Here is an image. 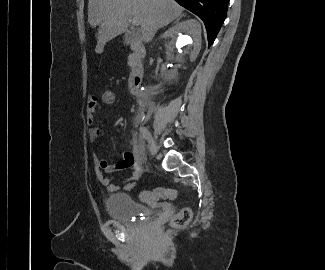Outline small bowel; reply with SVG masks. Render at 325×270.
<instances>
[{"label": "small bowel", "mask_w": 325, "mask_h": 270, "mask_svg": "<svg viewBox=\"0 0 325 270\" xmlns=\"http://www.w3.org/2000/svg\"><path fill=\"white\" fill-rule=\"evenodd\" d=\"M101 96H103L101 94ZM115 96V95H114ZM105 105H112L114 103H103ZM99 108V98L96 96H91L87 102L86 108V122L90 127L88 136L91 140H96L101 135V130L98 127L93 126L94 114ZM93 161L95 164V171L99 182L107 188L108 191H118V190H131L135 187V181L141 176V170L136 167V157L133 152H123L116 164H110L105 159L97 154L93 155ZM132 169L131 175L122 183L115 184L112 183V179L108 174L115 171H125Z\"/></svg>", "instance_id": "obj_1"}]
</instances>
